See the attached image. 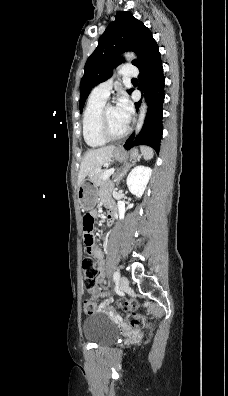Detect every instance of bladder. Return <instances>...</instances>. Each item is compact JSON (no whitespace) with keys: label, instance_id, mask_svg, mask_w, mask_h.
<instances>
[{"label":"bladder","instance_id":"31cf9c89","mask_svg":"<svg viewBox=\"0 0 228 396\" xmlns=\"http://www.w3.org/2000/svg\"><path fill=\"white\" fill-rule=\"evenodd\" d=\"M84 338L97 345L114 342L119 336V328L105 314H92L83 322Z\"/></svg>","mask_w":228,"mask_h":396}]
</instances>
